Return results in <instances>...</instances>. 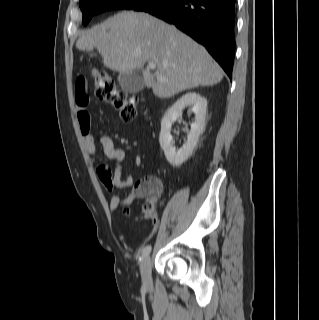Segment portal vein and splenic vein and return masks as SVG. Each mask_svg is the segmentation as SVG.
I'll return each instance as SVG.
<instances>
[{
  "instance_id": "18ae733b",
  "label": "portal vein and splenic vein",
  "mask_w": 319,
  "mask_h": 320,
  "mask_svg": "<svg viewBox=\"0 0 319 320\" xmlns=\"http://www.w3.org/2000/svg\"><path fill=\"white\" fill-rule=\"evenodd\" d=\"M147 67H148L149 69L153 70V69L156 68V64H155L154 62H149ZM158 79H159V80H164V77L158 76Z\"/></svg>"
}]
</instances>
